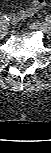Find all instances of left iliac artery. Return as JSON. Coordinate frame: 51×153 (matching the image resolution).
Returning a JSON list of instances; mask_svg holds the SVG:
<instances>
[{
    "label": "left iliac artery",
    "instance_id": "1",
    "mask_svg": "<svg viewBox=\"0 0 51 153\" xmlns=\"http://www.w3.org/2000/svg\"><path fill=\"white\" fill-rule=\"evenodd\" d=\"M46 21H47L48 23H51V15H47Z\"/></svg>",
    "mask_w": 51,
    "mask_h": 153
}]
</instances>
